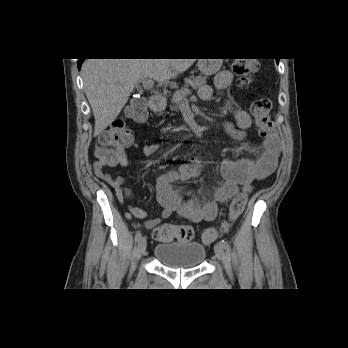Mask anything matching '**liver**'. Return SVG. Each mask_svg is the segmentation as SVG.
I'll list each match as a JSON object with an SVG mask.
<instances>
[{
	"instance_id": "liver-1",
	"label": "liver",
	"mask_w": 348,
	"mask_h": 348,
	"mask_svg": "<svg viewBox=\"0 0 348 348\" xmlns=\"http://www.w3.org/2000/svg\"><path fill=\"white\" fill-rule=\"evenodd\" d=\"M196 59H87L82 65L86 97L98 136L119 115L135 86L146 79L168 82Z\"/></svg>"
}]
</instances>
